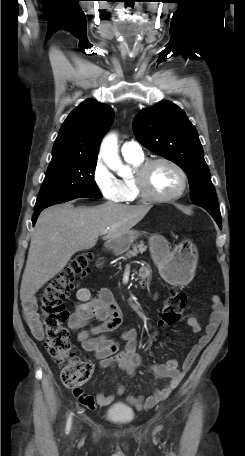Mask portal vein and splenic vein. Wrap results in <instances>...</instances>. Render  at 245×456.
Masks as SVG:
<instances>
[{
    "label": "portal vein and splenic vein",
    "instance_id": "18ae733b",
    "mask_svg": "<svg viewBox=\"0 0 245 456\" xmlns=\"http://www.w3.org/2000/svg\"><path fill=\"white\" fill-rule=\"evenodd\" d=\"M108 229H109V228H107V229L103 230V231L101 232V234H103V235H104V234H106V233H107V231H108Z\"/></svg>",
    "mask_w": 245,
    "mask_h": 456
}]
</instances>
